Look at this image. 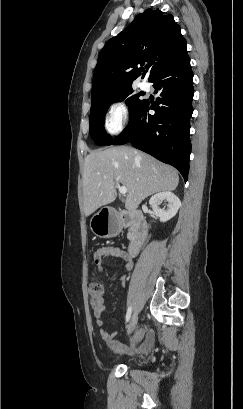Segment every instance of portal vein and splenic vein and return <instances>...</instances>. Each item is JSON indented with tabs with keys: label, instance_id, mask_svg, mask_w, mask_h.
<instances>
[{
	"label": "portal vein and splenic vein",
	"instance_id": "1",
	"mask_svg": "<svg viewBox=\"0 0 243 409\" xmlns=\"http://www.w3.org/2000/svg\"><path fill=\"white\" fill-rule=\"evenodd\" d=\"M116 187L118 188L120 194L122 195L127 194L128 190L125 186H120V184L116 182Z\"/></svg>",
	"mask_w": 243,
	"mask_h": 409
}]
</instances>
